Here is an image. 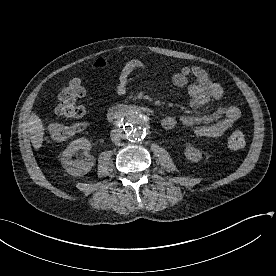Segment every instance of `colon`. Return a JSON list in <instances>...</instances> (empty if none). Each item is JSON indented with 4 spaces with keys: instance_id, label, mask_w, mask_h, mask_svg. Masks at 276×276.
Returning a JSON list of instances; mask_svg holds the SVG:
<instances>
[{
    "instance_id": "5ec220e1",
    "label": "colon",
    "mask_w": 276,
    "mask_h": 276,
    "mask_svg": "<svg viewBox=\"0 0 276 276\" xmlns=\"http://www.w3.org/2000/svg\"><path fill=\"white\" fill-rule=\"evenodd\" d=\"M85 90L79 79L71 80L62 87L58 94V102L55 111L58 116L69 118H80L84 115V107L79 100L84 96ZM84 125L53 124L47 129V138L52 142H61L69 139L76 131L82 130ZM228 146L233 150L242 149L246 144L245 135L239 130L233 131L227 139Z\"/></svg>"
}]
</instances>
